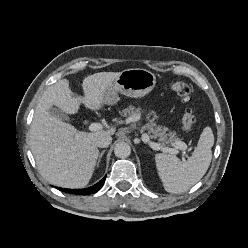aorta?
I'll return each instance as SVG.
<instances>
[{
	"instance_id": "762f6f07",
	"label": "aorta",
	"mask_w": 248,
	"mask_h": 248,
	"mask_svg": "<svg viewBox=\"0 0 248 248\" xmlns=\"http://www.w3.org/2000/svg\"><path fill=\"white\" fill-rule=\"evenodd\" d=\"M131 153V147L126 142H119L115 145L114 154L119 158H126Z\"/></svg>"
}]
</instances>
